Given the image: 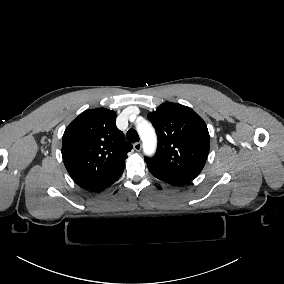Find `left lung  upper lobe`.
Here are the masks:
<instances>
[{
    "label": "left lung upper lobe",
    "instance_id": "1",
    "mask_svg": "<svg viewBox=\"0 0 284 284\" xmlns=\"http://www.w3.org/2000/svg\"><path fill=\"white\" fill-rule=\"evenodd\" d=\"M158 135V148L145 158L148 168L195 179L202 171L210 148V137L203 119L191 108L163 103L148 114Z\"/></svg>",
    "mask_w": 284,
    "mask_h": 284
}]
</instances>
